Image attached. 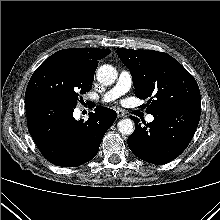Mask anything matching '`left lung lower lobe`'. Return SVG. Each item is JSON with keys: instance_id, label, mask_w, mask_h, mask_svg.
Returning <instances> with one entry per match:
<instances>
[{"instance_id": "obj_1", "label": "left lung lower lobe", "mask_w": 220, "mask_h": 220, "mask_svg": "<svg viewBox=\"0 0 220 220\" xmlns=\"http://www.w3.org/2000/svg\"><path fill=\"white\" fill-rule=\"evenodd\" d=\"M200 104L177 105L152 113L154 120L141 126L135 122V131L128 138L130 150L138 158L166 164L177 158L189 145L200 120Z\"/></svg>"}]
</instances>
